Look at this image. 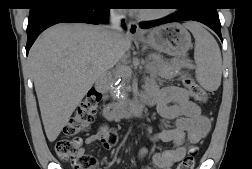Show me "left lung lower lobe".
Wrapping results in <instances>:
<instances>
[{"instance_id": "obj_1", "label": "left lung lower lobe", "mask_w": 252, "mask_h": 169, "mask_svg": "<svg viewBox=\"0 0 252 169\" xmlns=\"http://www.w3.org/2000/svg\"><path fill=\"white\" fill-rule=\"evenodd\" d=\"M217 6L213 0L205 1L202 4H196L187 8L178 9L173 15L164 19L142 22L139 27L142 29L151 28L161 24L177 22V21H198L210 27L222 40L221 23L217 13Z\"/></svg>"}]
</instances>
